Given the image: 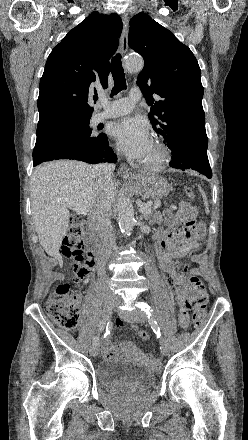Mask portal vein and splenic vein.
Masks as SVG:
<instances>
[{"label":"portal vein and splenic vein","mask_w":248,"mask_h":440,"mask_svg":"<svg viewBox=\"0 0 248 440\" xmlns=\"http://www.w3.org/2000/svg\"><path fill=\"white\" fill-rule=\"evenodd\" d=\"M61 203L66 205L68 208L72 209L73 211L82 214L85 212V209H83L82 207H80L77 203L70 201V200H61ZM139 210L142 214H147L149 213L152 208L149 205L146 204H139Z\"/></svg>","instance_id":"18ae733b"}]
</instances>
